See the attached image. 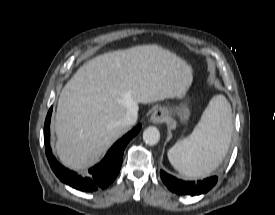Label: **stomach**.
Masks as SVG:
<instances>
[{
    "instance_id": "obj_1",
    "label": "stomach",
    "mask_w": 275,
    "mask_h": 215,
    "mask_svg": "<svg viewBox=\"0 0 275 215\" xmlns=\"http://www.w3.org/2000/svg\"><path fill=\"white\" fill-rule=\"evenodd\" d=\"M179 115L182 119H186L189 115V109L186 105H183L181 108H180V111H179Z\"/></svg>"
}]
</instances>
